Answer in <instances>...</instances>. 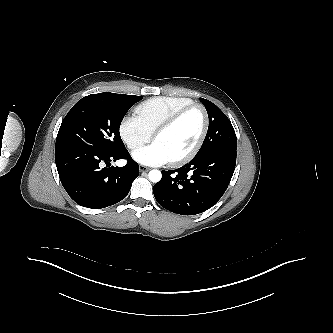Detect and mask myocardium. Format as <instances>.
<instances>
[{
    "instance_id": "f54148a6",
    "label": "myocardium",
    "mask_w": 333,
    "mask_h": 333,
    "mask_svg": "<svg viewBox=\"0 0 333 333\" xmlns=\"http://www.w3.org/2000/svg\"><path fill=\"white\" fill-rule=\"evenodd\" d=\"M193 109H199L202 113L203 116V127L200 133L199 138L197 139L196 143L194 144V146L185 154L170 160L169 162L172 165H180L183 163L188 162L189 160H191L200 150L201 146L203 145L205 138L207 136L208 133V129H209V115L208 112L205 108L204 105L200 104V103H192L190 105H187L181 109H179L178 111H176L175 113H173L170 117H168L163 123H161L153 132V139L155 140V138L160 135L161 133L169 130L171 127H173L185 114H187L188 112H190Z\"/></svg>"
}]
</instances>
